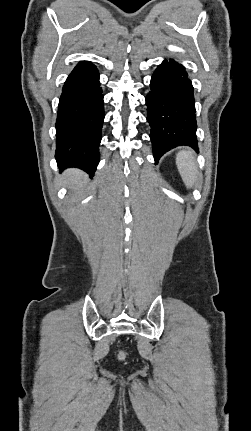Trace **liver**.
Segmentation results:
<instances>
[{
    "label": "liver",
    "instance_id": "liver-1",
    "mask_svg": "<svg viewBox=\"0 0 251 431\" xmlns=\"http://www.w3.org/2000/svg\"><path fill=\"white\" fill-rule=\"evenodd\" d=\"M64 183L72 190H78L85 182L86 175L78 169H68L63 174Z\"/></svg>",
    "mask_w": 251,
    "mask_h": 431
}]
</instances>
